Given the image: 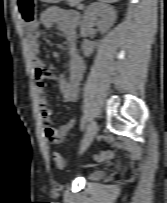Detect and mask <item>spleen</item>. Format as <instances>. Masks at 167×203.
I'll use <instances>...</instances> for the list:
<instances>
[{
    "mask_svg": "<svg viewBox=\"0 0 167 203\" xmlns=\"http://www.w3.org/2000/svg\"><path fill=\"white\" fill-rule=\"evenodd\" d=\"M100 1L105 3H114V2H118L119 0H100Z\"/></svg>",
    "mask_w": 167,
    "mask_h": 203,
    "instance_id": "obj_1",
    "label": "spleen"
}]
</instances>
